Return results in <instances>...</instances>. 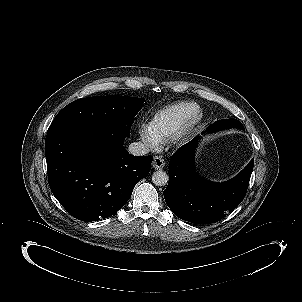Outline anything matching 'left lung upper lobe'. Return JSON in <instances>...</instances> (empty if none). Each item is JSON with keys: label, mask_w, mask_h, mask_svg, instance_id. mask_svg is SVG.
<instances>
[{"label": "left lung upper lobe", "mask_w": 302, "mask_h": 302, "mask_svg": "<svg viewBox=\"0 0 302 302\" xmlns=\"http://www.w3.org/2000/svg\"><path fill=\"white\" fill-rule=\"evenodd\" d=\"M214 126L216 127L217 130H223L225 128H231V127H236L239 129L244 130V126L242 123L236 119H224V120H219L214 123Z\"/></svg>", "instance_id": "left-lung-upper-lobe-1"}]
</instances>
